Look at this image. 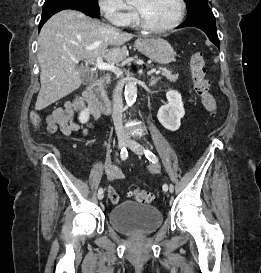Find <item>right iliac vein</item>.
<instances>
[{
    "label": "right iliac vein",
    "instance_id": "right-iliac-vein-1",
    "mask_svg": "<svg viewBox=\"0 0 261 273\" xmlns=\"http://www.w3.org/2000/svg\"><path fill=\"white\" fill-rule=\"evenodd\" d=\"M126 145V139L123 136H120L118 138V148L122 149L124 146ZM104 198V194L103 193H98V199L102 200Z\"/></svg>",
    "mask_w": 261,
    "mask_h": 273
}]
</instances>
